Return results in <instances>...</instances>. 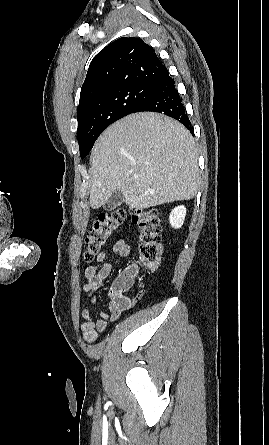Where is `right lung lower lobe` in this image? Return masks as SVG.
<instances>
[{"mask_svg": "<svg viewBox=\"0 0 269 445\" xmlns=\"http://www.w3.org/2000/svg\"><path fill=\"white\" fill-rule=\"evenodd\" d=\"M151 87L152 93L150 97L143 101L133 113L143 111L163 113L178 120L193 133L182 98L168 70Z\"/></svg>", "mask_w": 269, "mask_h": 445, "instance_id": "right-lung-lower-lobe-1", "label": "right lung lower lobe"}]
</instances>
